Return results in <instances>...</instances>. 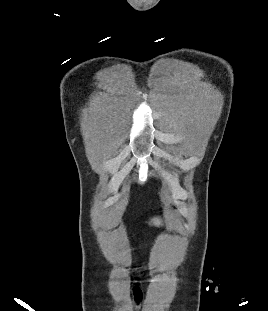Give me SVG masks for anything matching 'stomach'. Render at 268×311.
<instances>
[{"label": "stomach", "mask_w": 268, "mask_h": 311, "mask_svg": "<svg viewBox=\"0 0 268 311\" xmlns=\"http://www.w3.org/2000/svg\"><path fill=\"white\" fill-rule=\"evenodd\" d=\"M147 223L150 226L162 227L165 225V221L161 216H152L148 219Z\"/></svg>", "instance_id": "1"}]
</instances>
